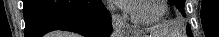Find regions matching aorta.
Instances as JSON below:
<instances>
[{
	"label": "aorta",
	"mask_w": 219,
	"mask_h": 37,
	"mask_svg": "<svg viewBox=\"0 0 219 37\" xmlns=\"http://www.w3.org/2000/svg\"><path fill=\"white\" fill-rule=\"evenodd\" d=\"M112 37H123V34H122V32L120 31V30H115L113 33H112V35H111Z\"/></svg>",
	"instance_id": "aorta-1"
}]
</instances>
